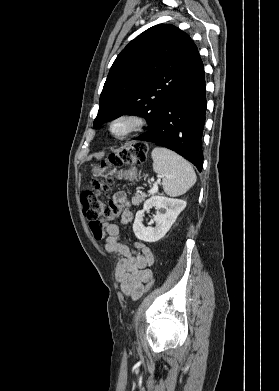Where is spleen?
I'll return each instance as SVG.
<instances>
[{"mask_svg": "<svg viewBox=\"0 0 279 391\" xmlns=\"http://www.w3.org/2000/svg\"><path fill=\"white\" fill-rule=\"evenodd\" d=\"M151 155L153 170L162 175V187L167 195H182L195 184L193 167L180 155L164 147L154 148Z\"/></svg>", "mask_w": 279, "mask_h": 391, "instance_id": "obj_1", "label": "spleen"}]
</instances>
